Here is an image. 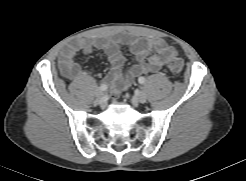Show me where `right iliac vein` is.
<instances>
[{
    "label": "right iliac vein",
    "instance_id": "63e3f726",
    "mask_svg": "<svg viewBox=\"0 0 246 181\" xmlns=\"http://www.w3.org/2000/svg\"><path fill=\"white\" fill-rule=\"evenodd\" d=\"M95 96H96L97 99H101V98L104 97V93H103L102 90H100V89L98 88V89L96 90V92H95Z\"/></svg>",
    "mask_w": 246,
    "mask_h": 181
}]
</instances>
